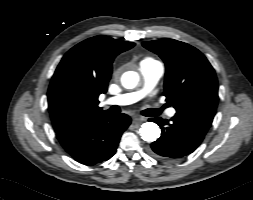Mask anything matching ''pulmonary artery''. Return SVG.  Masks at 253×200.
<instances>
[{"label":"pulmonary artery","mask_w":253,"mask_h":200,"mask_svg":"<svg viewBox=\"0 0 253 200\" xmlns=\"http://www.w3.org/2000/svg\"><path fill=\"white\" fill-rule=\"evenodd\" d=\"M140 71L144 79V87L141 90L120 94L106 99L103 104L105 105H130L133 104L147 95L158 83L164 73L163 65L156 60H143L140 63ZM166 114L173 117L176 114L174 108L167 110Z\"/></svg>","instance_id":"1"}]
</instances>
